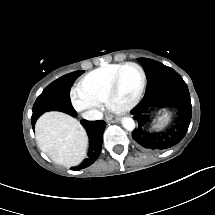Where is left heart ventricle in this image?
Returning a JSON list of instances; mask_svg holds the SVG:
<instances>
[{
	"mask_svg": "<svg viewBox=\"0 0 215 215\" xmlns=\"http://www.w3.org/2000/svg\"><path fill=\"white\" fill-rule=\"evenodd\" d=\"M138 83V73L134 68L127 67L118 72L117 92L133 94Z\"/></svg>",
	"mask_w": 215,
	"mask_h": 215,
	"instance_id": "left-heart-ventricle-1",
	"label": "left heart ventricle"
}]
</instances>
